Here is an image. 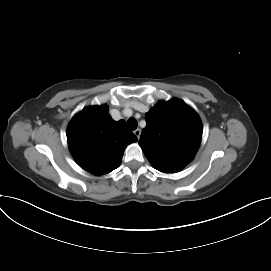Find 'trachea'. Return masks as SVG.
Here are the masks:
<instances>
[{
  "label": "trachea",
  "instance_id": "3493384b",
  "mask_svg": "<svg viewBox=\"0 0 271 271\" xmlns=\"http://www.w3.org/2000/svg\"><path fill=\"white\" fill-rule=\"evenodd\" d=\"M127 127L130 130H135L137 128V121L134 118H130L127 121Z\"/></svg>",
  "mask_w": 271,
  "mask_h": 271
}]
</instances>
